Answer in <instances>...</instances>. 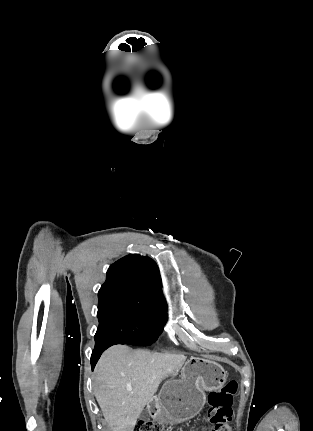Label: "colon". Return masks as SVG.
<instances>
[{"label":"colon","instance_id":"colon-1","mask_svg":"<svg viewBox=\"0 0 313 431\" xmlns=\"http://www.w3.org/2000/svg\"><path fill=\"white\" fill-rule=\"evenodd\" d=\"M237 392V382L229 381L219 390L209 395L208 419L213 425L211 431H232L230 421L232 418V401ZM135 431H166L161 422H141Z\"/></svg>","mask_w":313,"mask_h":431}]
</instances>
